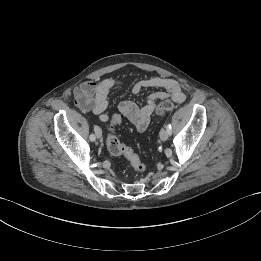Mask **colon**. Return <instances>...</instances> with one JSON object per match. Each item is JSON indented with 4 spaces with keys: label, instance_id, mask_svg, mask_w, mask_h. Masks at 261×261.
Instances as JSON below:
<instances>
[{
    "label": "colon",
    "instance_id": "colon-1",
    "mask_svg": "<svg viewBox=\"0 0 261 261\" xmlns=\"http://www.w3.org/2000/svg\"><path fill=\"white\" fill-rule=\"evenodd\" d=\"M176 108L172 101L166 100L159 103L155 107V113L161 115L165 112L172 111ZM121 123L119 115L113 116L111 120L110 132L107 136L106 145L108 151L114 156H124L130 163L133 170L143 172L145 166L140 157L128 146L123 145L118 138L113 134V128Z\"/></svg>",
    "mask_w": 261,
    "mask_h": 261
}]
</instances>
